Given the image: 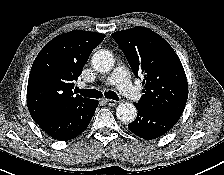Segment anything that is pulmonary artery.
Masks as SVG:
<instances>
[{"instance_id":"obj_1","label":"pulmonary artery","mask_w":224,"mask_h":175,"mask_svg":"<svg viewBox=\"0 0 224 175\" xmlns=\"http://www.w3.org/2000/svg\"><path fill=\"white\" fill-rule=\"evenodd\" d=\"M107 83L115 85L124 96L131 100L136 101L141 98L139 89L131 83L127 71L123 66H118L114 69Z\"/></svg>"}]
</instances>
